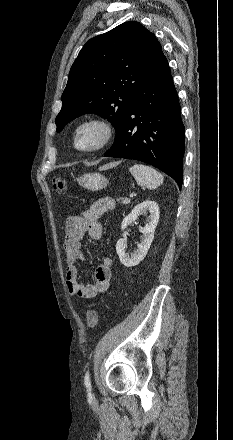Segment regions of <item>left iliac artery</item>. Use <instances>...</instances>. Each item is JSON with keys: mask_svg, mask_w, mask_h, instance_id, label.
I'll list each match as a JSON object with an SVG mask.
<instances>
[{"mask_svg": "<svg viewBox=\"0 0 233 440\" xmlns=\"http://www.w3.org/2000/svg\"><path fill=\"white\" fill-rule=\"evenodd\" d=\"M84 384L87 388H91V383H90V374L89 371L86 372L85 377H84Z\"/></svg>", "mask_w": 233, "mask_h": 440, "instance_id": "44dca946", "label": "left iliac artery"}]
</instances>
